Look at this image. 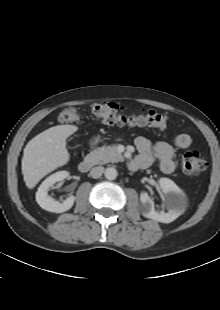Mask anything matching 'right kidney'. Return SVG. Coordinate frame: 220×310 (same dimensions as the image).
I'll return each mask as SVG.
<instances>
[{"mask_svg":"<svg viewBox=\"0 0 220 310\" xmlns=\"http://www.w3.org/2000/svg\"><path fill=\"white\" fill-rule=\"evenodd\" d=\"M68 176L69 173L67 171H58L50 175L42 182L36 192V201L42 209L49 212L63 213L68 211L73 206L75 201L74 196H69L66 200L60 203L48 195V190L50 187H52L56 182H60L68 178Z\"/></svg>","mask_w":220,"mask_h":310,"instance_id":"1","label":"right kidney"}]
</instances>
